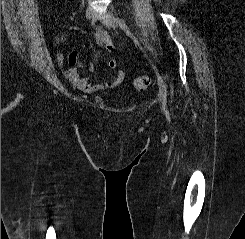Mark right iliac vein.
Wrapping results in <instances>:
<instances>
[{
    "instance_id": "63e3f726",
    "label": "right iliac vein",
    "mask_w": 245,
    "mask_h": 239,
    "mask_svg": "<svg viewBox=\"0 0 245 239\" xmlns=\"http://www.w3.org/2000/svg\"><path fill=\"white\" fill-rule=\"evenodd\" d=\"M85 15H86V18L87 19H89V20L92 19L94 17V11H93V9L91 7H88L86 9Z\"/></svg>"
}]
</instances>
